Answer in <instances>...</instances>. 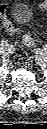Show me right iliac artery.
<instances>
[{
	"mask_svg": "<svg viewBox=\"0 0 47 129\" xmlns=\"http://www.w3.org/2000/svg\"><path fill=\"white\" fill-rule=\"evenodd\" d=\"M3 45H8V43L6 41H1L0 46H3Z\"/></svg>",
	"mask_w": 47,
	"mask_h": 129,
	"instance_id": "obj_1",
	"label": "right iliac artery"
}]
</instances>
